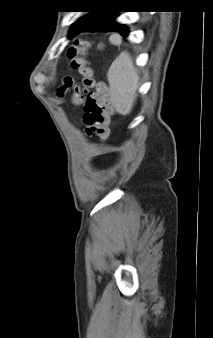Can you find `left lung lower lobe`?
Masks as SVG:
<instances>
[{
  "label": "left lung lower lobe",
  "mask_w": 213,
  "mask_h": 338,
  "mask_svg": "<svg viewBox=\"0 0 213 338\" xmlns=\"http://www.w3.org/2000/svg\"><path fill=\"white\" fill-rule=\"evenodd\" d=\"M80 18L71 28L69 37L72 38L80 32H109L116 31L126 37L128 30L125 26L115 22L117 11L104 10V11H89Z\"/></svg>",
  "instance_id": "obj_1"
}]
</instances>
